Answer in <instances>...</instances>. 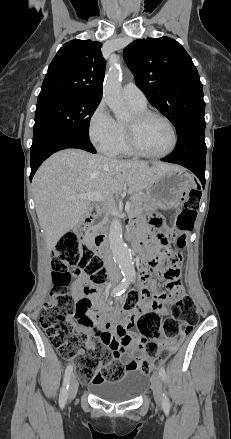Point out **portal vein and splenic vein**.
Returning <instances> with one entry per match:
<instances>
[{"label":"portal vein and splenic vein","instance_id":"portal-vein-and-splenic-vein-1","mask_svg":"<svg viewBox=\"0 0 231 439\" xmlns=\"http://www.w3.org/2000/svg\"><path fill=\"white\" fill-rule=\"evenodd\" d=\"M83 199V200H88V201H97V202H102L104 201L103 197L101 196V194L99 193H81L78 195H73L71 197H69V199L73 200V199ZM130 209V204L129 202L126 203L125 205V210L128 211Z\"/></svg>","mask_w":231,"mask_h":439}]
</instances>
